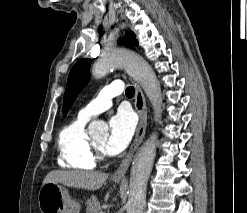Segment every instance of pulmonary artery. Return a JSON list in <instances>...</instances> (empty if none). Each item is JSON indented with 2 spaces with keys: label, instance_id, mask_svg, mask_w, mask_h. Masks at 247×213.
Wrapping results in <instances>:
<instances>
[{
  "label": "pulmonary artery",
  "instance_id": "obj_1",
  "mask_svg": "<svg viewBox=\"0 0 247 213\" xmlns=\"http://www.w3.org/2000/svg\"><path fill=\"white\" fill-rule=\"evenodd\" d=\"M123 92L121 81L116 80L110 85L104 87L99 95L88 105L79 111L78 116L82 119L89 120L92 117L108 110L112 106V98Z\"/></svg>",
  "mask_w": 247,
  "mask_h": 213
}]
</instances>
